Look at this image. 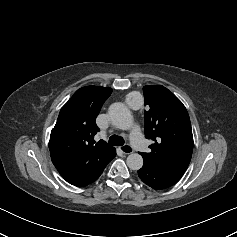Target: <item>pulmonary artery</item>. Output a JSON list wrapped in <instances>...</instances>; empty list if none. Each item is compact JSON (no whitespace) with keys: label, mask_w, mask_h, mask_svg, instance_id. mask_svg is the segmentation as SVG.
I'll return each mask as SVG.
<instances>
[{"label":"pulmonary artery","mask_w":237,"mask_h":237,"mask_svg":"<svg viewBox=\"0 0 237 237\" xmlns=\"http://www.w3.org/2000/svg\"><path fill=\"white\" fill-rule=\"evenodd\" d=\"M130 142L134 148L139 150L140 152H146L147 146L141 130L138 126L134 128V130L130 134Z\"/></svg>","instance_id":"1"}]
</instances>
